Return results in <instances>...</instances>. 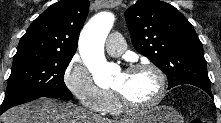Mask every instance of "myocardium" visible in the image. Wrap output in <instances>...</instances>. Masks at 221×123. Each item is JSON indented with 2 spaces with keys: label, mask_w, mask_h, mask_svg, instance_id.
I'll use <instances>...</instances> for the list:
<instances>
[{
  "label": "myocardium",
  "mask_w": 221,
  "mask_h": 123,
  "mask_svg": "<svg viewBox=\"0 0 221 123\" xmlns=\"http://www.w3.org/2000/svg\"><path fill=\"white\" fill-rule=\"evenodd\" d=\"M139 70H149L155 74L158 80V92L156 96L149 102L147 103H134L130 101L121 91L117 89H113V94L115 95L116 99L120 103L121 107L124 110L127 111H144L151 109L163 100L165 94H166V88H167V81H166V76L164 72L155 64L151 62H140L133 64L129 66L124 72L125 73H130V72H135Z\"/></svg>",
  "instance_id": "f54148a6"
}]
</instances>
